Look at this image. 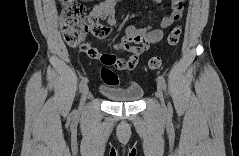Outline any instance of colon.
<instances>
[{
    "label": "colon",
    "instance_id": "5ec220e1",
    "mask_svg": "<svg viewBox=\"0 0 239 156\" xmlns=\"http://www.w3.org/2000/svg\"><path fill=\"white\" fill-rule=\"evenodd\" d=\"M62 28L65 41L71 46H79L84 53H93L94 48L85 38L91 31V21L87 15L86 7L75 0H65L62 11ZM182 34L180 26L174 27L168 34L167 44L175 46L179 43ZM162 64L160 56H154L149 59L147 67L150 70H157ZM101 77L104 83L108 85H117L119 83L116 74L107 66L101 68Z\"/></svg>",
    "mask_w": 239,
    "mask_h": 156
}]
</instances>
